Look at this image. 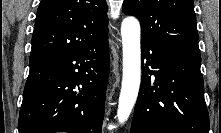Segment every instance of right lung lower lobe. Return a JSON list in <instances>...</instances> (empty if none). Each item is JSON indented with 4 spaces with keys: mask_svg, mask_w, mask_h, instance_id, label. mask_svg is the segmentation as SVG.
Here are the masks:
<instances>
[{
    "mask_svg": "<svg viewBox=\"0 0 221 133\" xmlns=\"http://www.w3.org/2000/svg\"><path fill=\"white\" fill-rule=\"evenodd\" d=\"M108 32L81 49L30 60L19 133H101Z\"/></svg>",
    "mask_w": 221,
    "mask_h": 133,
    "instance_id": "obj_1",
    "label": "right lung lower lobe"
}]
</instances>
